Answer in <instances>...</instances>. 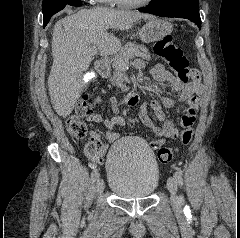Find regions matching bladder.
Segmentation results:
<instances>
[{"label": "bladder", "mask_w": 240, "mask_h": 238, "mask_svg": "<svg viewBox=\"0 0 240 238\" xmlns=\"http://www.w3.org/2000/svg\"><path fill=\"white\" fill-rule=\"evenodd\" d=\"M106 169L109 187L123 198L148 197L158 185L154 152L134 138L122 139L110 148Z\"/></svg>", "instance_id": "obj_1"}]
</instances>
